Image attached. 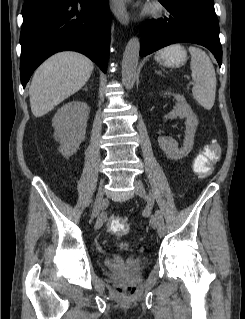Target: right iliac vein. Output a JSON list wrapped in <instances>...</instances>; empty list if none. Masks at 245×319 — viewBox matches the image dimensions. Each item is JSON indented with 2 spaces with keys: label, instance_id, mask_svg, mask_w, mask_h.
<instances>
[{
  "label": "right iliac vein",
  "instance_id": "right-iliac-vein-1",
  "mask_svg": "<svg viewBox=\"0 0 245 319\" xmlns=\"http://www.w3.org/2000/svg\"><path fill=\"white\" fill-rule=\"evenodd\" d=\"M105 204L106 201L104 199L103 187L100 186L92 209L91 219L98 215V213L104 208ZM95 228H99V224L96 223Z\"/></svg>",
  "mask_w": 245,
  "mask_h": 319
}]
</instances>
